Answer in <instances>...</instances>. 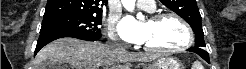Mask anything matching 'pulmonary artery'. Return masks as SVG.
Returning a JSON list of instances; mask_svg holds the SVG:
<instances>
[{
	"mask_svg": "<svg viewBox=\"0 0 246 69\" xmlns=\"http://www.w3.org/2000/svg\"><path fill=\"white\" fill-rule=\"evenodd\" d=\"M138 6L144 10L153 11L155 9L154 0H140L138 1Z\"/></svg>",
	"mask_w": 246,
	"mask_h": 69,
	"instance_id": "1",
	"label": "pulmonary artery"
}]
</instances>
